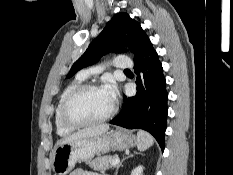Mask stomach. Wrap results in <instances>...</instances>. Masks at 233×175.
Returning <instances> with one entry per match:
<instances>
[{
    "label": "stomach",
    "instance_id": "1",
    "mask_svg": "<svg viewBox=\"0 0 233 175\" xmlns=\"http://www.w3.org/2000/svg\"><path fill=\"white\" fill-rule=\"evenodd\" d=\"M136 144L135 136L125 130H111L94 137H86L57 145L51 166L55 175H67L80 161H89L95 155L110 150L123 151Z\"/></svg>",
    "mask_w": 233,
    "mask_h": 175
}]
</instances>
